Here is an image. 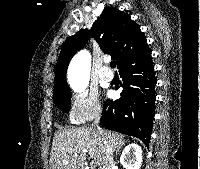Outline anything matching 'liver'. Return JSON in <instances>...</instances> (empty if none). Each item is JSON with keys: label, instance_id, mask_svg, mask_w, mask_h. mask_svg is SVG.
I'll return each instance as SVG.
<instances>
[{"label": "liver", "instance_id": "1", "mask_svg": "<svg viewBox=\"0 0 200 169\" xmlns=\"http://www.w3.org/2000/svg\"><path fill=\"white\" fill-rule=\"evenodd\" d=\"M95 128L79 127L61 129L53 137L50 153V169H84L86 158L92 164L102 165L105 155L104 141L114 150L125 144L123 135Z\"/></svg>", "mask_w": 200, "mask_h": 169}]
</instances>
